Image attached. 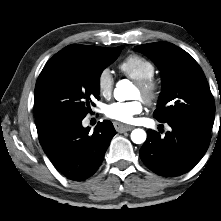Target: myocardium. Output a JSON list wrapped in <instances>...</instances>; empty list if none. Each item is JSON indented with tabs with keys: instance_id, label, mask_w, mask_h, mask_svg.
Masks as SVG:
<instances>
[{
	"instance_id": "f54148a6",
	"label": "myocardium",
	"mask_w": 221,
	"mask_h": 221,
	"mask_svg": "<svg viewBox=\"0 0 221 221\" xmlns=\"http://www.w3.org/2000/svg\"><path fill=\"white\" fill-rule=\"evenodd\" d=\"M136 87L139 90L140 97L146 104L153 106L157 103L160 96V84L155 78L138 80L136 81Z\"/></svg>"
}]
</instances>
